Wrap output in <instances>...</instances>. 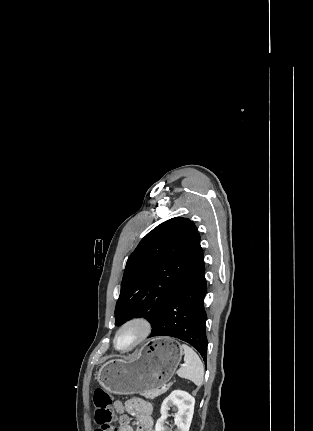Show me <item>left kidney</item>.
Masks as SVG:
<instances>
[{"instance_id":"5707ae66","label":"left kidney","mask_w":313,"mask_h":431,"mask_svg":"<svg viewBox=\"0 0 313 431\" xmlns=\"http://www.w3.org/2000/svg\"><path fill=\"white\" fill-rule=\"evenodd\" d=\"M172 405L178 410L175 415L177 430L189 431L194 413L195 398L182 390H174L163 401L161 406V417L156 422L155 431H167L164 424L168 417V410Z\"/></svg>"}]
</instances>
